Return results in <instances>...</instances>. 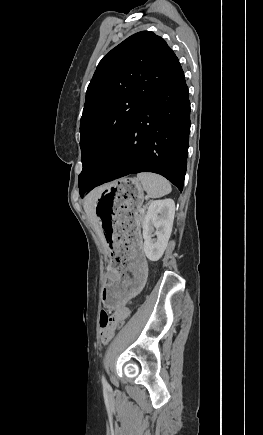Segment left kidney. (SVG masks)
<instances>
[{
    "label": "left kidney",
    "instance_id": "left-kidney-1",
    "mask_svg": "<svg viewBox=\"0 0 263 435\" xmlns=\"http://www.w3.org/2000/svg\"><path fill=\"white\" fill-rule=\"evenodd\" d=\"M175 203L172 199L152 201L143 222V249L150 261H158L172 232ZM156 229V230H155ZM156 236V238H152Z\"/></svg>",
    "mask_w": 263,
    "mask_h": 435
}]
</instances>
